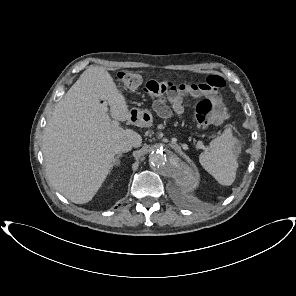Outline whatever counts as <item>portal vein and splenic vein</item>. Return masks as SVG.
<instances>
[{
  "label": "portal vein and splenic vein",
  "instance_id": "18ae733b",
  "mask_svg": "<svg viewBox=\"0 0 296 296\" xmlns=\"http://www.w3.org/2000/svg\"><path fill=\"white\" fill-rule=\"evenodd\" d=\"M102 108H103L104 110H107V105H106V104H103V105H102ZM112 122H113V124L116 125V126L119 125V122H118L117 120H113Z\"/></svg>",
  "mask_w": 296,
  "mask_h": 296
}]
</instances>
